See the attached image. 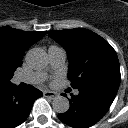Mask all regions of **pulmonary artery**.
Segmentation results:
<instances>
[{
  "label": "pulmonary artery",
  "mask_w": 128,
  "mask_h": 128,
  "mask_svg": "<svg viewBox=\"0 0 128 128\" xmlns=\"http://www.w3.org/2000/svg\"><path fill=\"white\" fill-rule=\"evenodd\" d=\"M49 62L53 69L60 68L66 60V51L63 48L52 46L48 50ZM46 76L42 72L28 73L17 75L14 78L15 83H28V84H38L45 80ZM74 95H78L79 91L74 90Z\"/></svg>",
  "instance_id": "1"
}]
</instances>
